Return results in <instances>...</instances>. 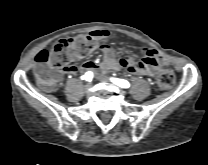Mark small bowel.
I'll use <instances>...</instances> for the list:
<instances>
[{"label":"small bowel","mask_w":208,"mask_h":165,"mask_svg":"<svg viewBox=\"0 0 208 165\" xmlns=\"http://www.w3.org/2000/svg\"><path fill=\"white\" fill-rule=\"evenodd\" d=\"M97 40L109 36V32L104 29L94 30L90 33ZM100 50L103 53V60L100 64L95 61L85 62L81 69L87 72H101L106 70L126 69L128 72L141 76H154L164 63V59L154 49H144L145 58L138 60L133 57H125L118 60L116 52L109 45H101ZM79 67L76 63L64 64L61 71L64 75L70 76L77 74Z\"/></svg>","instance_id":"small-bowel-1"}]
</instances>
